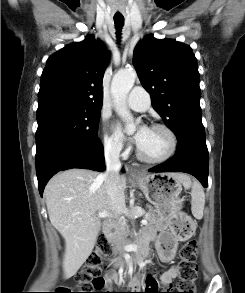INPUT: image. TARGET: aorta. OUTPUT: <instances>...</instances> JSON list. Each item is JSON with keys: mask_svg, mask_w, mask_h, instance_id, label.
<instances>
[{"mask_svg": "<svg viewBox=\"0 0 245 293\" xmlns=\"http://www.w3.org/2000/svg\"><path fill=\"white\" fill-rule=\"evenodd\" d=\"M136 72L132 69L117 72L111 82V93L114 99L115 110L119 116L126 120V132L134 133L136 127L130 111L125 107V99L132 89Z\"/></svg>", "mask_w": 245, "mask_h": 293, "instance_id": "1", "label": "aorta"}]
</instances>
